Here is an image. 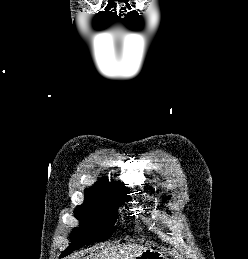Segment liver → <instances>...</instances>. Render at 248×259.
I'll return each mask as SVG.
<instances>
[{"label": "liver", "instance_id": "liver-1", "mask_svg": "<svg viewBox=\"0 0 248 259\" xmlns=\"http://www.w3.org/2000/svg\"><path fill=\"white\" fill-rule=\"evenodd\" d=\"M147 248L136 244L115 245L105 247L101 251H92L88 256H74L70 259H135Z\"/></svg>", "mask_w": 248, "mask_h": 259}]
</instances>
